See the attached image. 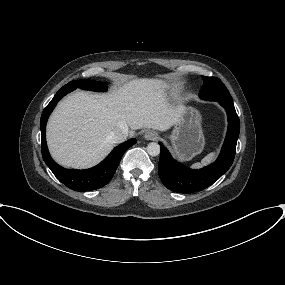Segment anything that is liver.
<instances>
[{
    "mask_svg": "<svg viewBox=\"0 0 285 285\" xmlns=\"http://www.w3.org/2000/svg\"><path fill=\"white\" fill-rule=\"evenodd\" d=\"M158 79H133L110 94L76 92L62 100L47 124V143L59 164L87 168L113 148L109 136L122 127L131 134L140 128L166 131L178 120L182 107H172Z\"/></svg>",
    "mask_w": 285,
    "mask_h": 285,
    "instance_id": "obj_1",
    "label": "liver"
}]
</instances>
